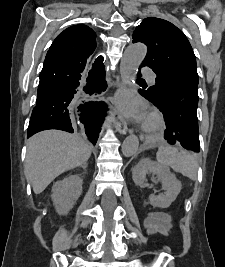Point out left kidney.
I'll use <instances>...</instances> for the list:
<instances>
[{
    "label": "left kidney",
    "instance_id": "5707ae66",
    "mask_svg": "<svg viewBox=\"0 0 225 267\" xmlns=\"http://www.w3.org/2000/svg\"><path fill=\"white\" fill-rule=\"evenodd\" d=\"M155 174L162 182V189L165 191L162 195H151L149 197L151 205L159 208H168L177 198L182 185L172 174L168 167L158 164L149 158L142 159L132 170V178L137 186L146 185V175Z\"/></svg>",
    "mask_w": 225,
    "mask_h": 267
}]
</instances>
